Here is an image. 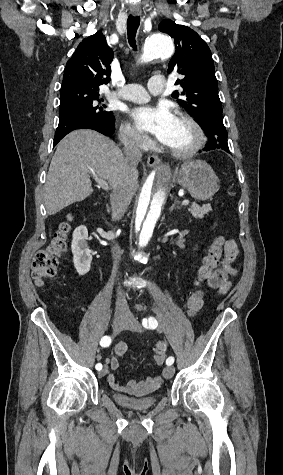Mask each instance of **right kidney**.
<instances>
[{
  "label": "right kidney",
  "instance_id": "obj_1",
  "mask_svg": "<svg viewBox=\"0 0 283 475\" xmlns=\"http://www.w3.org/2000/svg\"><path fill=\"white\" fill-rule=\"evenodd\" d=\"M71 241L74 265L79 275L88 273L93 259L88 247V232L86 226L75 228Z\"/></svg>",
  "mask_w": 283,
  "mask_h": 475
}]
</instances>
